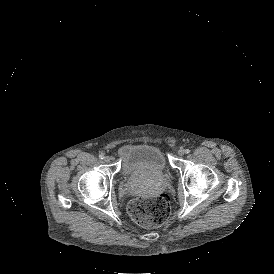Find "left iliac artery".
Here are the masks:
<instances>
[{"instance_id":"left-iliac-artery-1","label":"left iliac artery","mask_w":274,"mask_h":274,"mask_svg":"<svg viewBox=\"0 0 274 274\" xmlns=\"http://www.w3.org/2000/svg\"><path fill=\"white\" fill-rule=\"evenodd\" d=\"M185 153H186V154L190 153V150H189V149H186V150H185Z\"/></svg>"}]
</instances>
